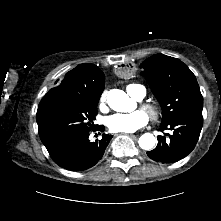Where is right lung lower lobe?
I'll use <instances>...</instances> for the list:
<instances>
[{"label":"right lung lower lobe","instance_id":"1","mask_svg":"<svg viewBox=\"0 0 221 221\" xmlns=\"http://www.w3.org/2000/svg\"><path fill=\"white\" fill-rule=\"evenodd\" d=\"M93 130L103 132L105 128L97 125ZM111 138L112 135L103 134L102 139L91 142L87 132L49 154L59 166L72 171H83L99 162Z\"/></svg>","mask_w":221,"mask_h":221}]
</instances>
